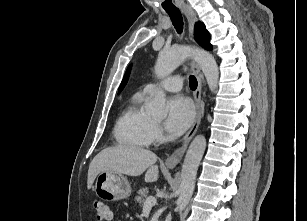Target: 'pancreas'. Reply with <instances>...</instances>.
<instances>
[{
    "instance_id": "pancreas-1",
    "label": "pancreas",
    "mask_w": 307,
    "mask_h": 221,
    "mask_svg": "<svg viewBox=\"0 0 307 221\" xmlns=\"http://www.w3.org/2000/svg\"><path fill=\"white\" fill-rule=\"evenodd\" d=\"M148 194H149V189L142 188L141 190L138 191V195L135 197V200L139 204H142L144 202V198H146Z\"/></svg>"
}]
</instances>
